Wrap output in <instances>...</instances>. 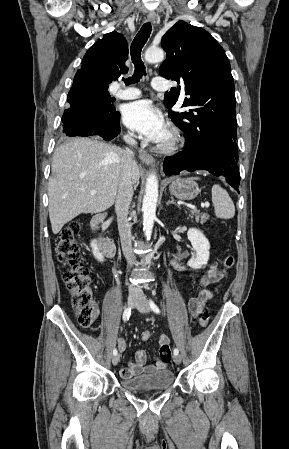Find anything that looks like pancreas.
<instances>
[{"label":"pancreas","mask_w":289,"mask_h":449,"mask_svg":"<svg viewBox=\"0 0 289 449\" xmlns=\"http://www.w3.org/2000/svg\"><path fill=\"white\" fill-rule=\"evenodd\" d=\"M191 215H192L191 218L194 217L196 222L200 221L201 223H204L208 219V216L206 214H199L198 211L191 212Z\"/></svg>","instance_id":"obj_1"}]
</instances>
